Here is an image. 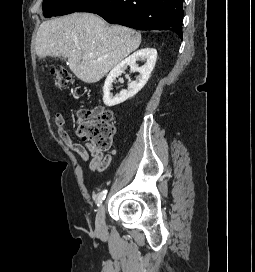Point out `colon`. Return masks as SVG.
I'll return each instance as SVG.
<instances>
[{"mask_svg":"<svg viewBox=\"0 0 255 272\" xmlns=\"http://www.w3.org/2000/svg\"><path fill=\"white\" fill-rule=\"evenodd\" d=\"M52 75L57 89H65L73 83L72 74L65 68H54ZM116 125L113 112L104 107L78 112L77 135L98 151H108L112 146Z\"/></svg>","mask_w":255,"mask_h":272,"instance_id":"1","label":"colon"}]
</instances>
